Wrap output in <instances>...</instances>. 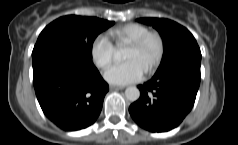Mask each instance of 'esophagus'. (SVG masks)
Wrapping results in <instances>:
<instances>
[{
    "mask_svg": "<svg viewBox=\"0 0 238 145\" xmlns=\"http://www.w3.org/2000/svg\"><path fill=\"white\" fill-rule=\"evenodd\" d=\"M111 90H122L125 89L124 86H116V85H110Z\"/></svg>",
    "mask_w": 238,
    "mask_h": 145,
    "instance_id": "34e87169",
    "label": "esophagus"
}]
</instances>
